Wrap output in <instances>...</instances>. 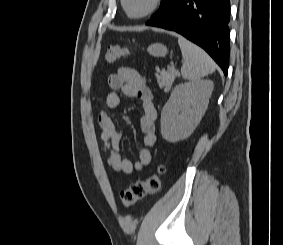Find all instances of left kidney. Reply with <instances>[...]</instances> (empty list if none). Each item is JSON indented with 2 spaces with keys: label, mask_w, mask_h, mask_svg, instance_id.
Here are the masks:
<instances>
[{
  "label": "left kidney",
  "mask_w": 283,
  "mask_h": 245,
  "mask_svg": "<svg viewBox=\"0 0 283 245\" xmlns=\"http://www.w3.org/2000/svg\"><path fill=\"white\" fill-rule=\"evenodd\" d=\"M213 91L211 80L177 85L161 112V134L171 143L188 138L204 115Z\"/></svg>",
  "instance_id": "left-kidney-1"
}]
</instances>
